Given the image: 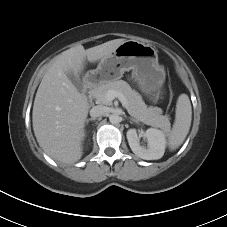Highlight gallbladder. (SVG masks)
<instances>
[{"label":"gallbladder","instance_id":"bac80fb5","mask_svg":"<svg viewBox=\"0 0 227 227\" xmlns=\"http://www.w3.org/2000/svg\"><path fill=\"white\" fill-rule=\"evenodd\" d=\"M67 75H68V78L73 83V85L77 88V90L82 92L83 85H82L80 78L78 76H76L73 72H70Z\"/></svg>","mask_w":227,"mask_h":227}]
</instances>
